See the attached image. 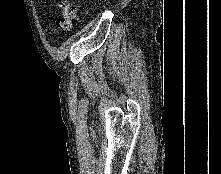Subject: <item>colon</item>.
Wrapping results in <instances>:
<instances>
[{"instance_id": "5ec220e1", "label": "colon", "mask_w": 221, "mask_h": 174, "mask_svg": "<svg viewBox=\"0 0 221 174\" xmlns=\"http://www.w3.org/2000/svg\"><path fill=\"white\" fill-rule=\"evenodd\" d=\"M62 15L57 20V27L63 32L71 31L77 23V8L72 0H59Z\"/></svg>"}]
</instances>
